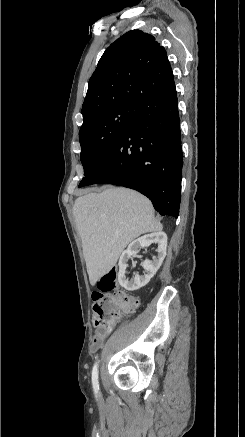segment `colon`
Listing matches in <instances>:
<instances>
[{"label": "colon", "mask_w": 245, "mask_h": 437, "mask_svg": "<svg viewBox=\"0 0 245 437\" xmlns=\"http://www.w3.org/2000/svg\"><path fill=\"white\" fill-rule=\"evenodd\" d=\"M117 269L113 268L97 282L92 293L94 325L97 336L107 335L120 318V309L134 311L140 304L137 297L117 289Z\"/></svg>", "instance_id": "colon-1"}]
</instances>
